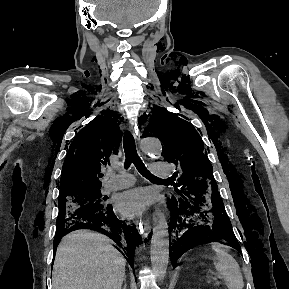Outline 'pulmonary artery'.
<instances>
[{"mask_svg":"<svg viewBox=\"0 0 289 289\" xmlns=\"http://www.w3.org/2000/svg\"><path fill=\"white\" fill-rule=\"evenodd\" d=\"M171 165L166 161H155L153 163L152 174L155 177L167 178L171 176ZM134 183V178L131 174L120 172L113 173L108 176L107 181L104 183L106 191L123 189L131 186Z\"/></svg>","mask_w":289,"mask_h":289,"instance_id":"obj_1","label":"pulmonary artery"}]
</instances>
